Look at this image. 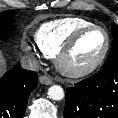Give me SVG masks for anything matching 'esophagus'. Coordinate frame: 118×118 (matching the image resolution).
<instances>
[{
	"mask_svg": "<svg viewBox=\"0 0 118 118\" xmlns=\"http://www.w3.org/2000/svg\"><path fill=\"white\" fill-rule=\"evenodd\" d=\"M39 81H40V83H42L44 85H51V84H53V80L49 76H47V75L40 76Z\"/></svg>",
	"mask_w": 118,
	"mask_h": 118,
	"instance_id": "esophagus-1",
	"label": "esophagus"
}]
</instances>
